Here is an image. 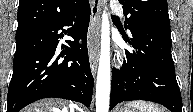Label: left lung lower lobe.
Wrapping results in <instances>:
<instances>
[{
	"label": "left lung lower lobe",
	"mask_w": 193,
	"mask_h": 112,
	"mask_svg": "<svg viewBox=\"0 0 193 112\" xmlns=\"http://www.w3.org/2000/svg\"><path fill=\"white\" fill-rule=\"evenodd\" d=\"M136 50H126L120 70L113 69L110 109L123 101L146 100L182 112V99L171 55L170 21L130 29L125 39Z\"/></svg>",
	"instance_id": "1"
}]
</instances>
